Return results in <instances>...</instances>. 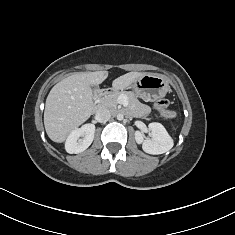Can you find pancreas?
<instances>
[{
  "mask_svg": "<svg viewBox=\"0 0 235 235\" xmlns=\"http://www.w3.org/2000/svg\"><path fill=\"white\" fill-rule=\"evenodd\" d=\"M125 96L128 101L129 112L134 117H141L146 113H149V107L143 105L136 98L135 94L130 91L126 92H111L101 98V105L110 109H116L119 103V97Z\"/></svg>",
  "mask_w": 235,
  "mask_h": 235,
  "instance_id": "cf45deb5",
  "label": "pancreas"
}]
</instances>
